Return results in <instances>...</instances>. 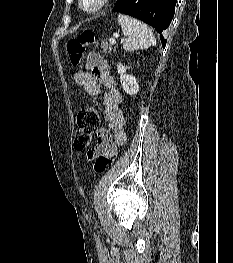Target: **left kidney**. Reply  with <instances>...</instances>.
<instances>
[{
  "instance_id": "left-kidney-1",
  "label": "left kidney",
  "mask_w": 233,
  "mask_h": 263,
  "mask_svg": "<svg viewBox=\"0 0 233 263\" xmlns=\"http://www.w3.org/2000/svg\"><path fill=\"white\" fill-rule=\"evenodd\" d=\"M127 69L128 68L122 63L117 65V71L120 74V82L122 84L123 90L129 95H134L138 92L139 85L133 75L126 73Z\"/></svg>"
}]
</instances>
